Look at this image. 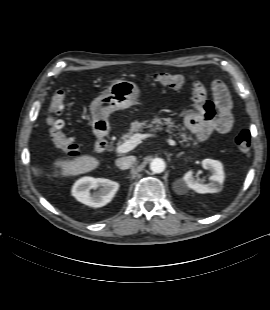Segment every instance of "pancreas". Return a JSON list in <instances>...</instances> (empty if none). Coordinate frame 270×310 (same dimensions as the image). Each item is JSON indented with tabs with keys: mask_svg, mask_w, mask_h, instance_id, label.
I'll return each mask as SVG.
<instances>
[{
	"mask_svg": "<svg viewBox=\"0 0 270 310\" xmlns=\"http://www.w3.org/2000/svg\"><path fill=\"white\" fill-rule=\"evenodd\" d=\"M163 126L166 127V130L168 132L170 131H178V134L181 137V142H188L193 141V146L199 147L198 142L193 139L190 135H187V133L183 132L185 131L184 127H181L180 125H175L174 121H172L171 118H159L155 117L152 119V121L149 123V120H145L142 122L134 121L130 124V129L127 134L122 135L121 139L122 141L129 140L134 133L141 132L143 129L148 128L149 130H159L162 129ZM186 146H190V143H187Z\"/></svg>",
	"mask_w": 270,
	"mask_h": 310,
	"instance_id": "obj_1",
	"label": "pancreas"
}]
</instances>
